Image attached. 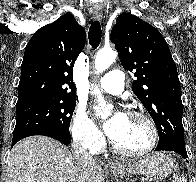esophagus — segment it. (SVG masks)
Here are the masks:
<instances>
[{
  "instance_id": "1",
  "label": "esophagus",
  "mask_w": 196,
  "mask_h": 182,
  "mask_svg": "<svg viewBox=\"0 0 196 182\" xmlns=\"http://www.w3.org/2000/svg\"><path fill=\"white\" fill-rule=\"evenodd\" d=\"M102 15L103 14H102L101 8L95 7L93 9V19L94 20H101L102 19ZM107 165L110 166V167H117V164L116 163L109 162Z\"/></svg>"
}]
</instances>
